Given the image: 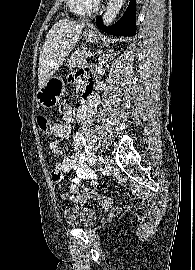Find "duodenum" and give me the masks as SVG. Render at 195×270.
<instances>
[{
    "label": "duodenum",
    "mask_w": 195,
    "mask_h": 270,
    "mask_svg": "<svg viewBox=\"0 0 195 270\" xmlns=\"http://www.w3.org/2000/svg\"><path fill=\"white\" fill-rule=\"evenodd\" d=\"M94 81H91L87 84L85 91L83 93V102L88 105L92 102V100L94 99Z\"/></svg>",
    "instance_id": "obj_1"
}]
</instances>
